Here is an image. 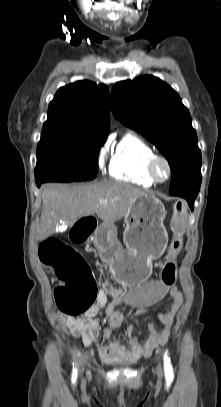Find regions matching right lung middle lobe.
Wrapping results in <instances>:
<instances>
[{
    "label": "right lung middle lobe",
    "mask_w": 221,
    "mask_h": 407,
    "mask_svg": "<svg viewBox=\"0 0 221 407\" xmlns=\"http://www.w3.org/2000/svg\"><path fill=\"white\" fill-rule=\"evenodd\" d=\"M104 141L64 134H42L37 146L35 180L73 182L92 180Z\"/></svg>",
    "instance_id": "obj_1"
}]
</instances>
